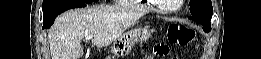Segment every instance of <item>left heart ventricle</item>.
Instances as JSON below:
<instances>
[{
  "label": "left heart ventricle",
  "instance_id": "b2bd125f",
  "mask_svg": "<svg viewBox=\"0 0 261 59\" xmlns=\"http://www.w3.org/2000/svg\"><path fill=\"white\" fill-rule=\"evenodd\" d=\"M179 0H161L158 1V4L164 8L172 9L176 8L179 5Z\"/></svg>",
  "mask_w": 261,
  "mask_h": 59
}]
</instances>
